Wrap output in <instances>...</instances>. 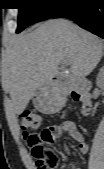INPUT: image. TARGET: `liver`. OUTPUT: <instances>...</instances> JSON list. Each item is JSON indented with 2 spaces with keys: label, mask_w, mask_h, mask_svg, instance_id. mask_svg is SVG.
<instances>
[{
  "label": "liver",
  "mask_w": 104,
  "mask_h": 169,
  "mask_svg": "<svg viewBox=\"0 0 104 169\" xmlns=\"http://www.w3.org/2000/svg\"><path fill=\"white\" fill-rule=\"evenodd\" d=\"M104 55L103 41L65 19H51L16 37L2 82L21 114L38 90L68 61L75 79L89 75Z\"/></svg>",
  "instance_id": "1"
}]
</instances>
